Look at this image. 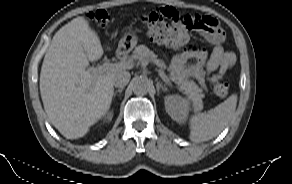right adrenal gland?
<instances>
[{
	"label": "right adrenal gland",
	"mask_w": 292,
	"mask_h": 184,
	"mask_svg": "<svg viewBox=\"0 0 292 184\" xmlns=\"http://www.w3.org/2000/svg\"><path fill=\"white\" fill-rule=\"evenodd\" d=\"M122 91H123V88L116 90V91L113 93V97L115 98L116 94H117V93L121 94Z\"/></svg>",
	"instance_id": "right-adrenal-gland-1"
}]
</instances>
